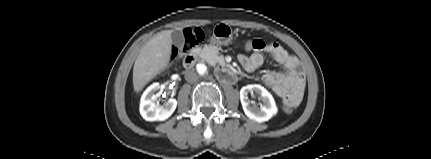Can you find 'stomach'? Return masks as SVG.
Here are the masks:
<instances>
[{"label": "stomach", "instance_id": "0dacf381", "mask_svg": "<svg viewBox=\"0 0 431 159\" xmlns=\"http://www.w3.org/2000/svg\"><path fill=\"white\" fill-rule=\"evenodd\" d=\"M233 39V31L227 24H217L213 29L210 42L218 45H228Z\"/></svg>", "mask_w": 431, "mask_h": 159}]
</instances>
